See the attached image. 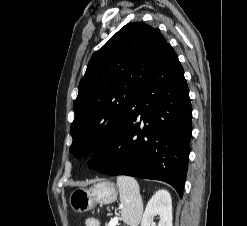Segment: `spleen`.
Wrapping results in <instances>:
<instances>
[{
	"instance_id": "spleen-1",
	"label": "spleen",
	"mask_w": 247,
	"mask_h": 226,
	"mask_svg": "<svg viewBox=\"0 0 247 226\" xmlns=\"http://www.w3.org/2000/svg\"><path fill=\"white\" fill-rule=\"evenodd\" d=\"M117 185L120 193V201L123 204L121 216L123 221L130 225L136 226L143 210L142 198L140 195L139 185L133 177H117ZM87 226H99L98 220L89 218L86 220Z\"/></svg>"
}]
</instances>
